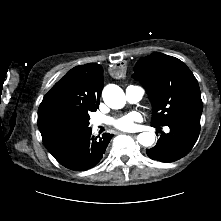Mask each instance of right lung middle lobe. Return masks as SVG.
<instances>
[{
	"label": "right lung middle lobe",
	"mask_w": 221,
	"mask_h": 221,
	"mask_svg": "<svg viewBox=\"0 0 221 221\" xmlns=\"http://www.w3.org/2000/svg\"><path fill=\"white\" fill-rule=\"evenodd\" d=\"M89 115L83 118H59L50 125L54 145L61 149L90 130Z\"/></svg>",
	"instance_id": "dd1d6c3e"
}]
</instances>
